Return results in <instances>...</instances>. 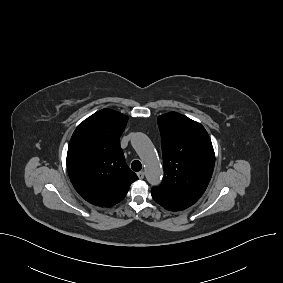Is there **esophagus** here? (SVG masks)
<instances>
[{
	"label": "esophagus",
	"instance_id": "1",
	"mask_svg": "<svg viewBox=\"0 0 283 283\" xmlns=\"http://www.w3.org/2000/svg\"><path fill=\"white\" fill-rule=\"evenodd\" d=\"M137 176H138L139 179H143L144 178V171L138 172Z\"/></svg>",
	"mask_w": 283,
	"mask_h": 283
}]
</instances>
